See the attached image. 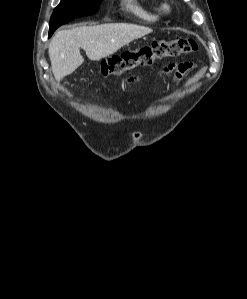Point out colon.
<instances>
[{"label": "colon", "instance_id": "1", "mask_svg": "<svg viewBox=\"0 0 247 299\" xmlns=\"http://www.w3.org/2000/svg\"><path fill=\"white\" fill-rule=\"evenodd\" d=\"M197 49V42L192 38L152 40L135 50L114 55L104 60L101 63L100 72L103 76L121 75L139 67L150 66L165 58L194 53Z\"/></svg>", "mask_w": 247, "mask_h": 299}]
</instances>
